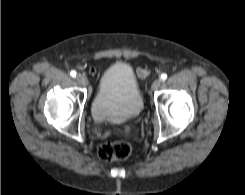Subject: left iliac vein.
Returning a JSON list of instances; mask_svg holds the SVG:
<instances>
[{"instance_id":"obj_1","label":"left iliac vein","mask_w":245,"mask_h":195,"mask_svg":"<svg viewBox=\"0 0 245 195\" xmlns=\"http://www.w3.org/2000/svg\"><path fill=\"white\" fill-rule=\"evenodd\" d=\"M160 86H161V80L160 79H156V80L153 81V83L151 85V89L153 91H156V90H158L160 88Z\"/></svg>"}]
</instances>
